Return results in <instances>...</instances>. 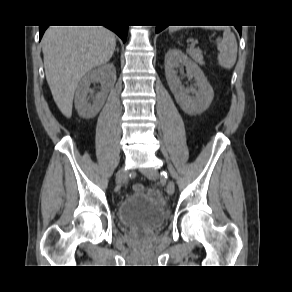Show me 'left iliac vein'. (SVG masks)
I'll return each instance as SVG.
<instances>
[{
    "mask_svg": "<svg viewBox=\"0 0 292 292\" xmlns=\"http://www.w3.org/2000/svg\"><path fill=\"white\" fill-rule=\"evenodd\" d=\"M141 172L143 173V175H145L147 178L149 179H156L158 177V171L156 169L153 168H143L141 169ZM175 191V186L174 183L172 181H168L166 183V192L169 195H173Z\"/></svg>",
    "mask_w": 292,
    "mask_h": 292,
    "instance_id": "1",
    "label": "left iliac vein"
}]
</instances>
